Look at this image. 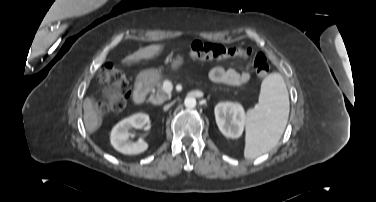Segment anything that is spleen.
Here are the masks:
<instances>
[{
    "mask_svg": "<svg viewBox=\"0 0 376 202\" xmlns=\"http://www.w3.org/2000/svg\"><path fill=\"white\" fill-rule=\"evenodd\" d=\"M289 115V96L283 77L269 74L262 82L259 103L247 112L244 156L254 159L280 140Z\"/></svg>",
    "mask_w": 376,
    "mask_h": 202,
    "instance_id": "spleen-1",
    "label": "spleen"
}]
</instances>
